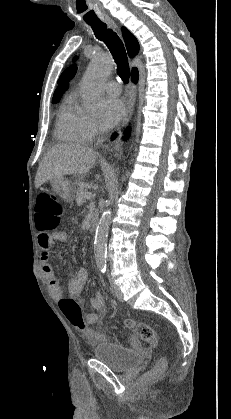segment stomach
<instances>
[{"label": "stomach", "instance_id": "1", "mask_svg": "<svg viewBox=\"0 0 231 419\" xmlns=\"http://www.w3.org/2000/svg\"><path fill=\"white\" fill-rule=\"evenodd\" d=\"M53 190L64 200L73 201L75 194L74 185L64 176L50 180Z\"/></svg>", "mask_w": 231, "mask_h": 419}]
</instances>
